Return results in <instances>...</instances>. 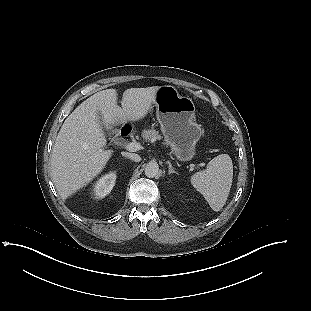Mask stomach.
Masks as SVG:
<instances>
[{"mask_svg":"<svg viewBox=\"0 0 311 311\" xmlns=\"http://www.w3.org/2000/svg\"><path fill=\"white\" fill-rule=\"evenodd\" d=\"M153 105L165 141L181 161L195 155V145L201 137V125L194 122L195 105L191 98L181 96L173 87L162 86Z\"/></svg>","mask_w":311,"mask_h":311,"instance_id":"obj_1","label":"stomach"}]
</instances>
